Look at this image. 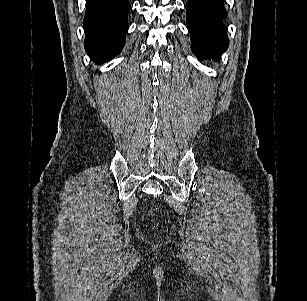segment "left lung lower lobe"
<instances>
[{
  "mask_svg": "<svg viewBox=\"0 0 307 301\" xmlns=\"http://www.w3.org/2000/svg\"><path fill=\"white\" fill-rule=\"evenodd\" d=\"M185 7L193 53L200 60L219 59L229 43L222 23L228 15L223 0H188Z\"/></svg>",
  "mask_w": 307,
  "mask_h": 301,
  "instance_id": "obj_1",
  "label": "left lung lower lobe"
}]
</instances>
